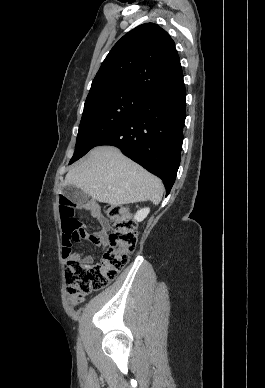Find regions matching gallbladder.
Returning a JSON list of instances; mask_svg holds the SVG:
<instances>
[{"mask_svg": "<svg viewBox=\"0 0 265 388\" xmlns=\"http://www.w3.org/2000/svg\"><path fill=\"white\" fill-rule=\"evenodd\" d=\"M63 196H66L70 202H73V204H79V206H82V204H85L87 202L89 196L88 194H85L81 188H75V186H72V184H69V186H65L62 190Z\"/></svg>", "mask_w": 265, "mask_h": 388, "instance_id": "gallbladder-1", "label": "gallbladder"}]
</instances>
